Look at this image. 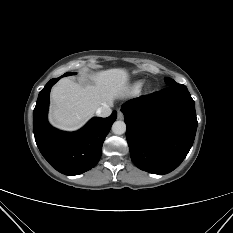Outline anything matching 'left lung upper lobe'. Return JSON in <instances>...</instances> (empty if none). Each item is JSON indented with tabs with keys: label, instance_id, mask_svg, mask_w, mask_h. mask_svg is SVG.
<instances>
[{
	"label": "left lung upper lobe",
	"instance_id": "obj_1",
	"mask_svg": "<svg viewBox=\"0 0 233 233\" xmlns=\"http://www.w3.org/2000/svg\"><path fill=\"white\" fill-rule=\"evenodd\" d=\"M165 82H166V85H167L168 87L178 84V83H176V82H175L173 79H171V78H166V79H165Z\"/></svg>",
	"mask_w": 233,
	"mask_h": 233
}]
</instances>
